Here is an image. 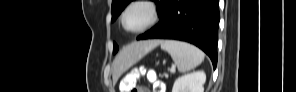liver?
Returning a JSON list of instances; mask_svg holds the SVG:
<instances>
[{
    "mask_svg": "<svg viewBox=\"0 0 296 92\" xmlns=\"http://www.w3.org/2000/svg\"><path fill=\"white\" fill-rule=\"evenodd\" d=\"M159 44V40L139 41L123 48L112 64L113 82L115 83L126 70Z\"/></svg>",
    "mask_w": 296,
    "mask_h": 92,
    "instance_id": "obj_1",
    "label": "liver"
}]
</instances>
